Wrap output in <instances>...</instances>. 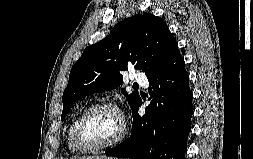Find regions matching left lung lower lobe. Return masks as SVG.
<instances>
[{
	"label": "left lung lower lobe",
	"instance_id": "left-lung-lower-lobe-1",
	"mask_svg": "<svg viewBox=\"0 0 253 159\" xmlns=\"http://www.w3.org/2000/svg\"><path fill=\"white\" fill-rule=\"evenodd\" d=\"M148 80L152 100L145 114L137 112L140 99L132 110L130 138L105 153L129 159H185L193 94L180 52Z\"/></svg>",
	"mask_w": 253,
	"mask_h": 159
}]
</instances>
